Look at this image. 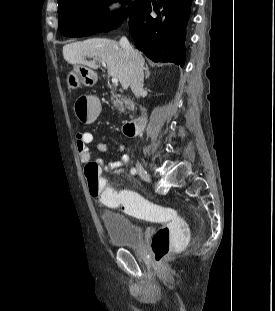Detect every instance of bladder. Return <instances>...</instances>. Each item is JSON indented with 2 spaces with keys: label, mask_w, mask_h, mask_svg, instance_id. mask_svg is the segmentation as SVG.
I'll return each mask as SVG.
<instances>
[{
  "label": "bladder",
  "mask_w": 275,
  "mask_h": 311,
  "mask_svg": "<svg viewBox=\"0 0 275 311\" xmlns=\"http://www.w3.org/2000/svg\"><path fill=\"white\" fill-rule=\"evenodd\" d=\"M100 219L112 246L135 249L142 245L144 234L141 226L126 215L106 210L100 213Z\"/></svg>",
  "instance_id": "31cf9c89"
}]
</instances>
